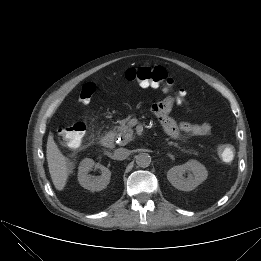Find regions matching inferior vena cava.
Returning a JSON list of instances; mask_svg holds the SVG:
<instances>
[{
    "label": "inferior vena cava",
    "instance_id": "inferior-vena-cava-1",
    "mask_svg": "<svg viewBox=\"0 0 261 261\" xmlns=\"http://www.w3.org/2000/svg\"><path fill=\"white\" fill-rule=\"evenodd\" d=\"M130 155V151L128 149L125 148H119L116 149L114 152V159L116 160H124L126 159L128 156Z\"/></svg>",
    "mask_w": 261,
    "mask_h": 261
}]
</instances>
